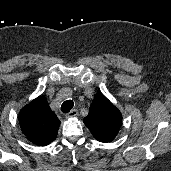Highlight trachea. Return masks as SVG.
<instances>
[{
  "label": "trachea",
  "instance_id": "trachea-1",
  "mask_svg": "<svg viewBox=\"0 0 171 171\" xmlns=\"http://www.w3.org/2000/svg\"><path fill=\"white\" fill-rule=\"evenodd\" d=\"M73 105L74 103L72 100H67L62 104L61 111L63 113H68L73 108Z\"/></svg>",
  "mask_w": 171,
  "mask_h": 171
}]
</instances>
